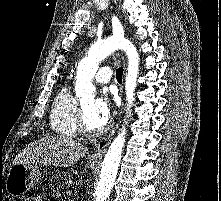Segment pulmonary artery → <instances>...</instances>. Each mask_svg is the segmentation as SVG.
Here are the masks:
<instances>
[{"label":"pulmonary artery","mask_w":221,"mask_h":201,"mask_svg":"<svg viewBox=\"0 0 221 201\" xmlns=\"http://www.w3.org/2000/svg\"><path fill=\"white\" fill-rule=\"evenodd\" d=\"M112 77V71L109 66H103L95 75V81L98 83H108Z\"/></svg>","instance_id":"obj_1"}]
</instances>
